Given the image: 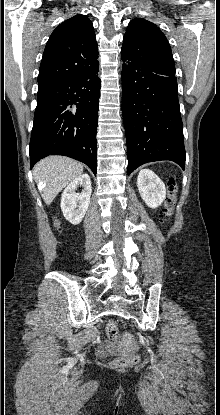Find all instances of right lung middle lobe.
<instances>
[{
  "instance_id": "1",
  "label": "right lung middle lobe",
  "mask_w": 220,
  "mask_h": 415,
  "mask_svg": "<svg viewBox=\"0 0 220 415\" xmlns=\"http://www.w3.org/2000/svg\"><path fill=\"white\" fill-rule=\"evenodd\" d=\"M48 87H39L38 88V92H42V91H44V90H46Z\"/></svg>"
}]
</instances>
